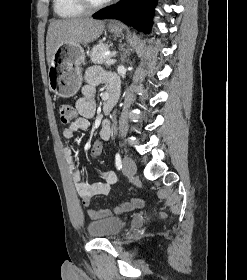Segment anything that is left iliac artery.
<instances>
[{
    "label": "left iliac artery",
    "mask_w": 247,
    "mask_h": 280,
    "mask_svg": "<svg viewBox=\"0 0 247 280\" xmlns=\"http://www.w3.org/2000/svg\"><path fill=\"white\" fill-rule=\"evenodd\" d=\"M115 165L118 170H120L122 168L121 156L119 153H116V155H115Z\"/></svg>",
    "instance_id": "1"
}]
</instances>
